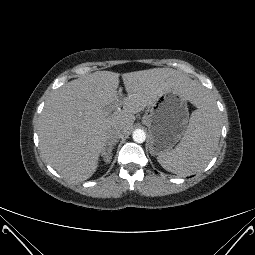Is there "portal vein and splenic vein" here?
<instances>
[{"label": "portal vein and splenic vein", "instance_id": "18ae733b", "mask_svg": "<svg viewBox=\"0 0 255 255\" xmlns=\"http://www.w3.org/2000/svg\"><path fill=\"white\" fill-rule=\"evenodd\" d=\"M117 109L120 110V107L118 106ZM107 110H108V112H111L113 110V106L108 107Z\"/></svg>", "mask_w": 255, "mask_h": 255}]
</instances>
